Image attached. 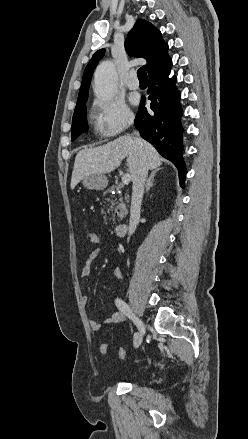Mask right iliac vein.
I'll use <instances>...</instances> for the list:
<instances>
[{
	"label": "right iliac vein",
	"instance_id": "right-iliac-vein-1",
	"mask_svg": "<svg viewBox=\"0 0 248 439\" xmlns=\"http://www.w3.org/2000/svg\"><path fill=\"white\" fill-rule=\"evenodd\" d=\"M140 322H143V321H141V320H139ZM144 323V322H143ZM144 326H145V324H144ZM138 330H139V335H138V338L136 339V341H135V347H138L140 344H141V342H142V338H143V336H144V334H145V329L143 330H141L140 328H138ZM141 331H144V334H141Z\"/></svg>",
	"mask_w": 248,
	"mask_h": 439
}]
</instances>
